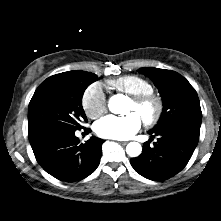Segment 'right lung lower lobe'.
<instances>
[{"mask_svg":"<svg viewBox=\"0 0 221 221\" xmlns=\"http://www.w3.org/2000/svg\"><path fill=\"white\" fill-rule=\"evenodd\" d=\"M76 130L55 129L29 139L40 166L53 177L75 182L86 178L98 167L104 140L91 137L80 144Z\"/></svg>","mask_w":221,"mask_h":221,"instance_id":"right-lung-lower-lobe-1","label":"right lung lower lobe"}]
</instances>
